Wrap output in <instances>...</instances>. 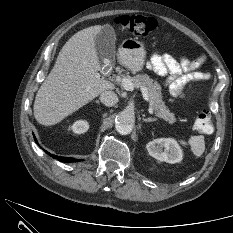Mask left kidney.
<instances>
[{
    "label": "left kidney",
    "instance_id": "left-kidney-1",
    "mask_svg": "<svg viewBox=\"0 0 233 233\" xmlns=\"http://www.w3.org/2000/svg\"><path fill=\"white\" fill-rule=\"evenodd\" d=\"M146 148L149 155L159 161L174 164L183 159V152L173 138L154 139L147 143Z\"/></svg>",
    "mask_w": 233,
    "mask_h": 233
}]
</instances>
